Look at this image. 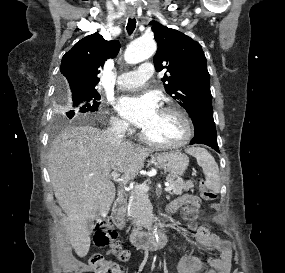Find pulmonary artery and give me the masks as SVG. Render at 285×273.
<instances>
[{
  "label": "pulmonary artery",
  "instance_id": "obj_1",
  "mask_svg": "<svg viewBox=\"0 0 285 273\" xmlns=\"http://www.w3.org/2000/svg\"><path fill=\"white\" fill-rule=\"evenodd\" d=\"M154 68L151 62L142 63L137 70L128 71L117 77L116 85L120 89L138 88L153 75Z\"/></svg>",
  "mask_w": 285,
  "mask_h": 273
}]
</instances>
